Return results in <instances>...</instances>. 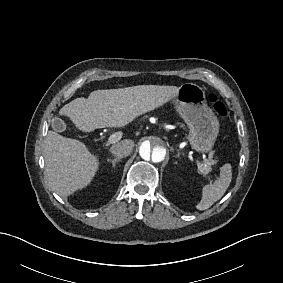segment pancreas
<instances>
[{"label":"pancreas","mask_w":283,"mask_h":283,"mask_svg":"<svg viewBox=\"0 0 283 283\" xmlns=\"http://www.w3.org/2000/svg\"><path fill=\"white\" fill-rule=\"evenodd\" d=\"M216 163L217 160H213L212 158L206 159L203 163L198 164V172L203 176H206L209 172L212 171L211 166Z\"/></svg>","instance_id":"cf45deb5"}]
</instances>
